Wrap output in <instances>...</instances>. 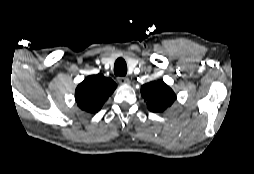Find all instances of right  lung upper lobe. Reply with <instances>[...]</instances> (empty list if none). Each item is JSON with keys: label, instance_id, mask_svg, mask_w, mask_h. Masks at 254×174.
<instances>
[{"label": "right lung upper lobe", "instance_id": "cb5924a9", "mask_svg": "<svg viewBox=\"0 0 254 174\" xmlns=\"http://www.w3.org/2000/svg\"><path fill=\"white\" fill-rule=\"evenodd\" d=\"M116 87L111 78L102 74L88 76L77 86L75 99L82 110L95 113L101 109Z\"/></svg>", "mask_w": 254, "mask_h": 174}]
</instances>
